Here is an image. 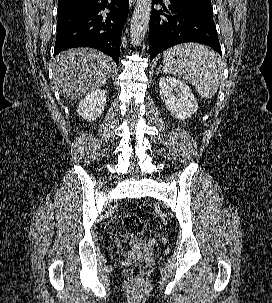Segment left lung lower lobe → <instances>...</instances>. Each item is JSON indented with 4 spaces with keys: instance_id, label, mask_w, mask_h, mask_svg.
<instances>
[{
    "instance_id": "left-lung-lower-lobe-1",
    "label": "left lung lower lobe",
    "mask_w": 272,
    "mask_h": 303,
    "mask_svg": "<svg viewBox=\"0 0 272 303\" xmlns=\"http://www.w3.org/2000/svg\"><path fill=\"white\" fill-rule=\"evenodd\" d=\"M161 0H153L152 5ZM167 9L152 10L149 22V51L152 60L167 48L184 43L198 42L215 49L220 55L216 26L211 3L193 0H170Z\"/></svg>"
}]
</instances>
